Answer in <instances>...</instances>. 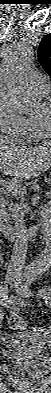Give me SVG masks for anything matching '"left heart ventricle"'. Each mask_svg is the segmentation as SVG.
<instances>
[{
  "label": "left heart ventricle",
  "mask_w": 51,
  "mask_h": 393,
  "mask_svg": "<svg viewBox=\"0 0 51 393\" xmlns=\"http://www.w3.org/2000/svg\"><path fill=\"white\" fill-rule=\"evenodd\" d=\"M46 112H47V111H46L45 107L42 105V106L40 107L38 113H37V116H39V115H46V114H47Z\"/></svg>",
  "instance_id": "obj_1"
}]
</instances>
